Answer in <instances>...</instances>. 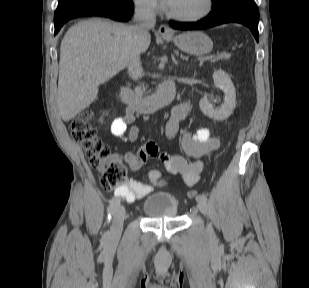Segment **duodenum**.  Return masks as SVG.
<instances>
[{"instance_id":"1","label":"duodenum","mask_w":309,"mask_h":288,"mask_svg":"<svg viewBox=\"0 0 309 288\" xmlns=\"http://www.w3.org/2000/svg\"><path fill=\"white\" fill-rule=\"evenodd\" d=\"M175 96L174 84L167 82L163 84L153 96L140 99L128 87L120 88L122 102L132 110L139 113H151L168 105Z\"/></svg>"}]
</instances>
